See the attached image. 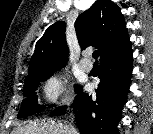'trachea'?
Returning a JSON list of instances; mask_svg holds the SVG:
<instances>
[{
    "label": "trachea",
    "instance_id": "1",
    "mask_svg": "<svg viewBox=\"0 0 153 134\" xmlns=\"http://www.w3.org/2000/svg\"><path fill=\"white\" fill-rule=\"evenodd\" d=\"M92 57H93L95 60H97L98 57H99V51H98V50H95V51L93 52V54H92Z\"/></svg>",
    "mask_w": 153,
    "mask_h": 134
}]
</instances>
